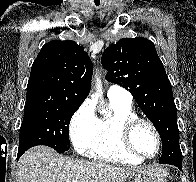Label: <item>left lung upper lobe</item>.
<instances>
[{
	"label": "left lung upper lobe",
	"instance_id": "5c2ea615",
	"mask_svg": "<svg viewBox=\"0 0 196 182\" xmlns=\"http://www.w3.org/2000/svg\"><path fill=\"white\" fill-rule=\"evenodd\" d=\"M101 62L107 81L131 92L160 134L162 146L174 148L182 159L172 87L153 42L143 37L121 39L104 51Z\"/></svg>",
	"mask_w": 196,
	"mask_h": 182
}]
</instances>
